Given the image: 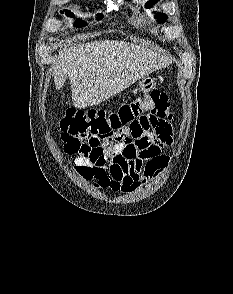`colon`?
<instances>
[{"mask_svg":"<svg viewBox=\"0 0 233 294\" xmlns=\"http://www.w3.org/2000/svg\"><path fill=\"white\" fill-rule=\"evenodd\" d=\"M137 110H156L159 117L167 119L172 116L168 96L161 91L123 103L110 112L70 108L60 123L64 151L68 155L88 158L103 156L104 149L113 146L115 141L132 142L131 137H125L126 123L146 117L137 115Z\"/></svg>","mask_w":233,"mask_h":294,"instance_id":"1","label":"colon"}]
</instances>
